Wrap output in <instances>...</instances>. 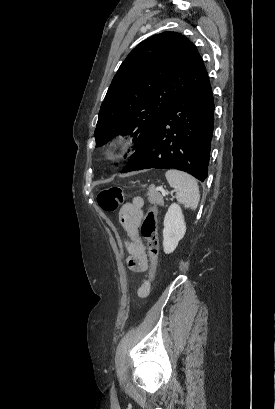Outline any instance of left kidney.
<instances>
[{"label": "left kidney", "instance_id": "left-kidney-1", "mask_svg": "<svg viewBox=\"0 0 275 409\" xmlns=\"http://www.w3.org/2000/svg\"><path fill=\"white\" fill-rule=\"evenodd\" d=\"M185 233L186 225L184 223L181 207L176 205V202H173V205H170L164 219L163 247L166 255L175 251L179 241L183 239Z\"/></svg>", "mask_w": 275, "mask_h": 409}]
</instances>
